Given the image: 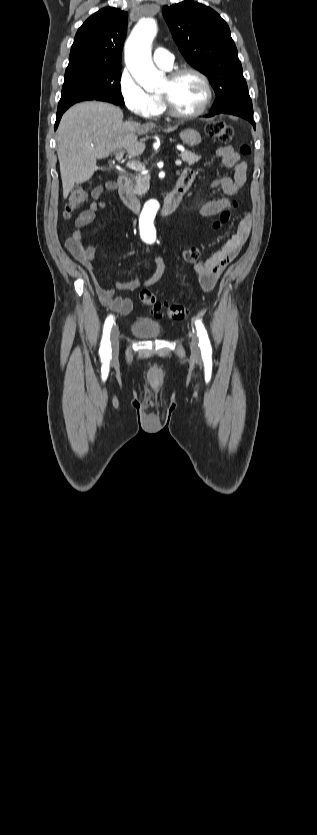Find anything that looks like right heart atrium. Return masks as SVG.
Here are the masks:
<instances>
[{
    "mask_svg": "<svg viewBox=\"0 0 317 835\" xmlns=\"http://www.w3.org/2000/svg\"><path fill=\"white\" fill-rule=\"evenodd\" d=\"M118 88L123 103L132 113L147 119L158 115L157 100L142 88L127 68L119 75Z\"/></svg>",
    "mask_w": 317,
    "mask_h": 835,
    "instance_id": "right-heart-atrium-1",
    "label": "right heart atrium"
}]
</instances>
